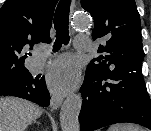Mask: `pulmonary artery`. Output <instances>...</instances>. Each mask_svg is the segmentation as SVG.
Wrapping results in <instances>:
<instances>
[{
    "instance_id": "pulmonary-artery-1",
    "label": "pulmonary artery",
    "mask_w": 151,
    "mask_h": 131,
    "mask_svg": "<svg viewBox=\"0 0 151 131\" xmlns=\"http://www.w3.org/2000/svg\"><path fill=\"white\" fill-rule=\"evenodd\" d=\"M91 46V39L85 35H79L76 38V48L80 50H88ZM48 51H40L36 53V59L34 62L35 69H41L46 63L48 58Z\"/></svg>"
}]
</instances>
